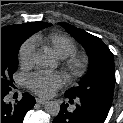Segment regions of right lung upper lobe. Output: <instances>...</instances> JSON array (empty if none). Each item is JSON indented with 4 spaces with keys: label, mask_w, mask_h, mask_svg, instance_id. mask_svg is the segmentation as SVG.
I'll list each match as a JSON object with an SVG mask.
<instances>
[{
    "label": "right lung upper lobe",
    "mask_w": 123,
    "mask_h": 123,
    "mask_svg": "<svg viewBox=\"0 0 123 123\" xmlns=\"http://www.w3.org/2000/svg\"><path fill=\"white\" fill-rule=\"evenodd\" d=\"M49 23L45 22H30L21 25H9L1 28V42L8 41L13 34L20 31L21 29L28 28L31 26H46Z\"/></svg>",
    "instance_id": "cb5924a9"
}]
</instances>
